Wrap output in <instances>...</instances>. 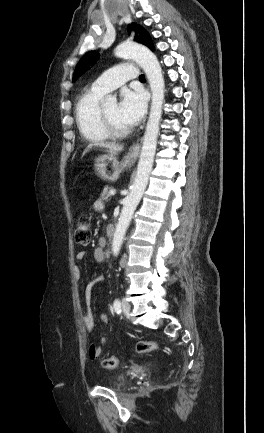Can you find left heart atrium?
<instances>
[{
  "instance_id": "39dd6f15",
  "label": "left heart atrium",
  "mask_w": 264,
  "mask_h": 433,
  "mask_svg": "<svg viewBox=\"0 0 264 433\" xmlns=\"http://www.w3.org/2000/svg\"><path fill=\"white\" fill-rule=\"evenodd\" d=\"M146 111V97L141 91L124 90L121 93L118 112L129 126L138 124Z\"/></svg>"
}]
</instances>
